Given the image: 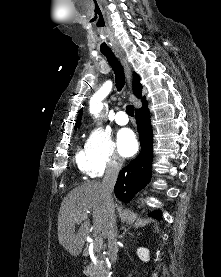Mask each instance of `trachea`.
<instances>
[{"instance_id": "trachea-1", "label": "trachea", "mask_w": 221, "mask_h": 277, "mask_svg": "<svg viewBox=\"0 0 221 277\" xmlns=\"http://www.w3.org/2000/svg\"><path fill=\"white\" fill-rule=\"evenodd\" d=\"M101 53L107 58V61L109 62L110 66L112 67L114 74H115L116 88L118 91H121L125 85V75H124V71H123V68H122L120 62L118 61V59L115 57V55L110 50L102 51ZM126 113L131 117L134 116L133 105H128L126 107Z\"/></svg>"}]
</instances>
